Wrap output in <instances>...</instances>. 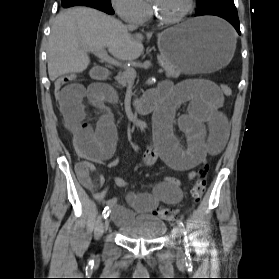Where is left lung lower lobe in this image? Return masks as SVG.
I'll return each mask as SVG.
<instances>
[{
    "mask_svg": "<svg viewBox=\"0 0 279 279\" xmlns=\"http://www.w3.org/2000/svg\"><path fill=\"white\" fill-rule=\"evenodd\" d=\"M202 15L222 17L230 22L237 32L241 34L238 14L233 0H212L204 6L199 7L195 13V16Z\"/></svg>",
    "mask_w": 279,
    "mask_h": 279,
    "instance_id": "left-lung-lower-lobe-1",
    "label": "left lung lower lobe"
}]
</instances>
